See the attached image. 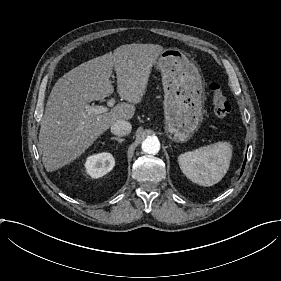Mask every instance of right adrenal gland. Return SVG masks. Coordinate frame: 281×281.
I'll return each instance as SVG.
<instances>
[{"label":"right adrenal gland","mask_w":281,"mask_h":281,"mask_svg":"<svg viewBox=\"0 0 281 281\" xmlns=\"http://www.w3.org/2000/svg\"><path fill=\"white\" fill-rule=\"evenodd\" d=\"M112 139L117 140L119 143H122L125 141V139H122L120 137L112 136Z\"/></svg>","instance_id":"right-adrenal-gland-1"}]
</instances>
